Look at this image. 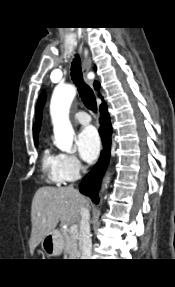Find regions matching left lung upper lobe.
<instances>
[{"instance_id": "1", "label": "left lung upper lobe", "mask_w": 175, "mask_h": 287, "mask_svg": "<svg viewBox=\"0 0 175 287\" xmlns=\"http://www.w3.org/2000/svg\"><path fill=\"white\" fill-rule=\"evenodd\" d=\"M45 95L42 94L39 98L38 105H37V125L38 129L40 128L41 119H42V107L44 105Z\"/></svg>"}]
</instances>
